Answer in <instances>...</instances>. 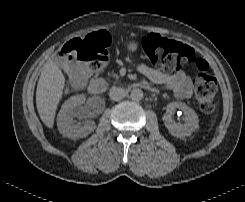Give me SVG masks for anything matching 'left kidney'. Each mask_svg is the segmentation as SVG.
I'll return each mask as SVG.
<instances>
[{
    "label": "left kidney",
    "mask_w": 245,
    "mask_h": 202,
    "mask_svg": "<svg viewBox=\"0 0 245 202\" xmlns=\"http://www.w3.org/2000/svg\"><path fill=\"white\" fill-rule=\"evenodd\" d=\"M175 109H180L184 113V124H178L172 119ZM163 121L169 133L177 138L183 139L190 136L197 128L199 119L196 112L182 102H171L167 105V111L163 116Z\"/></svg>",
    "instance_id": "5707ae66"
}]
</instances>
